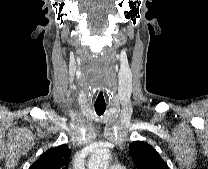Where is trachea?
<instances>
[{
	"mask_svg": "<svg viewBox=\"0 0 208 169\" xmlns=\"http://www.w3.org/2000/svg\"><path fill=\"white\" fill-rule=\"evenodd\" d=\"M105 110H106V105H104V106L95 105V111H96L97 115H99V116L103 115Z\"/></svg>",
	"mask_w": 208,
	"mask_h": 169,
	"instance_id": "3493384b",
	"label": "trachea"
}]
</instances>
